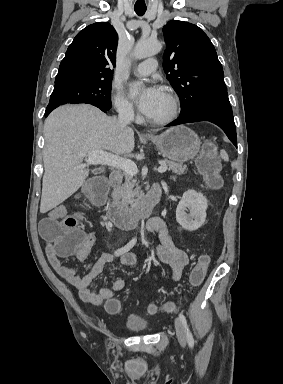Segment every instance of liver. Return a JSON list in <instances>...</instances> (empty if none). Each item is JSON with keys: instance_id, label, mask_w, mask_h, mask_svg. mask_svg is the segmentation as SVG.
I'll use <instances>...</instances> for the list:
<instances>
[{"instance_id": "liver-1", "label": "liver", "mask_w": 283, "mask_h": 384, "mask_svg": "<svg viewBox=\"0 0 283 384\" xmlns=\"http://www.w3.org/2000/svg\"><path fill=\"white\" fill-rule=\"evenodd\" d=\"M41 214L53 210L83 186L89 170L82 162L91 150H107L127 156L135 148L132 128H121L117 118H108L89 104L60 106L44 124Z\"/></svg>"}]
</instances>
